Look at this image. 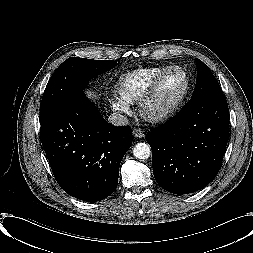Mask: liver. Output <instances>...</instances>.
<instances>
[{
  "mask_svg": "<svg viewBox=\"0 0 253 253\" xmlns=\"http://www.w3.org/2000/svg\"><path fill=\"white\" fill-rule=\"evenodd\" d=\"M86 94H87L88 97H90V98H96V95H95L92 91H86Z\"/></svg>",
  "mask_w": 253,
  "mask_h": 253,
  "instance_id": "obj_1",
  "label": "liver"
}]
</instances>
